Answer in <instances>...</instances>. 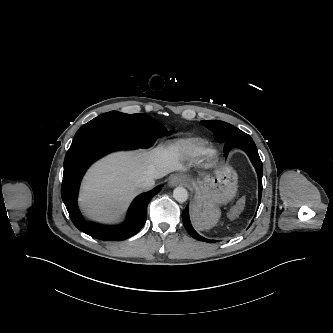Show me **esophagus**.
Masks as SVG:
<instances>
[{
    "label": "esophagus",
    "instance_id": "34e87169",
    "mask_svg": "<svg viewBox=\"0 0 333 333\" xmlns=\"http://www.w3.org/2000/svg\"><path fill=\"white\" fill-rule=\"evenodd\" d=\"M185 182V178L180 176L179 174H174L169 179V186L175 187L181 185Z\"/></svg>",
    "mask_w": 333,
    "mask_h": 333
}]
</instances>
